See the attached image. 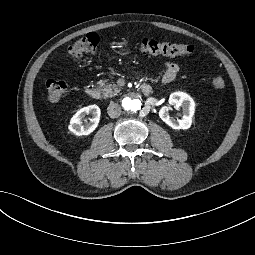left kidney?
I'll return each mask as SVG.
<instances>
[{"label":"left kidney","instance_id":"left-kidney-1","mask_svg":"<svg viewBox=\"0 0 255 255\" xmlns=\"http://www.w3.org/2000/svg\"><path fill=\"white\" fill-rule=\"evenodd\" d=\"M171 106L183 109L182 119H176L169 115ZM195 103L193 99L185 93H173L170 95L168 104L161 107L159 117L172 129L188 130L192 123Z\"/></svg>","mask_w":255,"mask_h":255}]
</instances>
